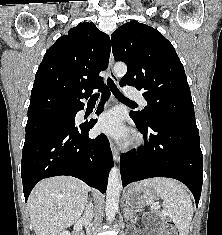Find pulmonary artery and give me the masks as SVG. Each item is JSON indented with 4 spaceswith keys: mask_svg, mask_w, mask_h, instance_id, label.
I'll return each mask as SVG.
<instances>
[{
    "mask_svg": "<svg viewBox=\"0 0 222 235\" xmlns=\"http://www.w3.org/2000/svg\"><path fill=\"white\" fill-rule=\"evenodd\" d=\"M124 93L126 96L139 102L143 107L147 105L146 100L138 90L131 87H127L125 88Z\"/></svg>",
    "mask_w": 222,
    "mask_h": 235,
    "instance_id": "e3ab8cb5",
    "label": "pulmonary artery"
}]
</instances>
